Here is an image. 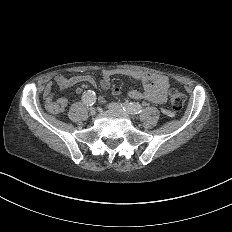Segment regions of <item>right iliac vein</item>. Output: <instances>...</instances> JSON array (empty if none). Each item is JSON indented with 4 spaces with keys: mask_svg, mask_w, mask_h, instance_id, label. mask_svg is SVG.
<instances>
[{
    "mask_svg": "<svg viewBox=\"0 0 232 232\" xmlns=\"http://www.w3.org/2000/svg\"><path fill=\"white\" fill-rule=\"evenodd\" d=\"M96 112H97V109H96L95 107H92V108L90 109V111H89V114H90L91 116H94V115L96 114Z\"/></svg>",
    "mask_w": 232,
    "mask_h": 232,
    "instance_id": "63e3f726",
    "label": "right iliac vein"
}]
</instances>
